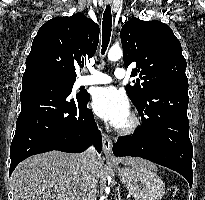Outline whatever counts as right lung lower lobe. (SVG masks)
<instances>
[{"mask_svg":"<svg viewBox=\"0 0 205 200\" xmlns=\"http://www.w3.org/2000/svg\"><path fill=\"white\" fill-rule=\"evenodd\" d=\"M22 83L9 175L21 161L38 153H80L91 143L101 152V133L87 108L88 93L72 98L71 87L44 75L24 77Z\"/></svg>","mask_w":205,"mask_h":200,"instance_id":"1","label":"right lung lower lobe"}]
</instances>
